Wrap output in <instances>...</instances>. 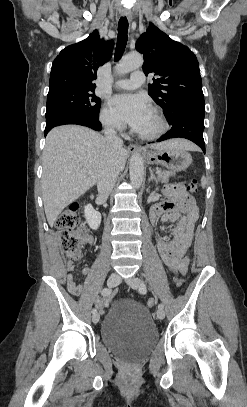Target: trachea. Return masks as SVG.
Returning a JSON list of instances; mask_svg holds the SVG:
<instances>
[{
    "mask_svg": "<svg viewBox=\"0 0 247 407\" xmlns=\"http://www.w3.org/2000/svg\"><path fill=\"white\" fill-rule=\"evenodd\" d=\"M128 20L126 17H121L118 22V39L115 50V61H118L127 44Z\"/></svg>",
    "mask_w": 247,
    "mask_h": 407,
    "instance_id": "1",
    "label": "trachea"
}]
</instances>
